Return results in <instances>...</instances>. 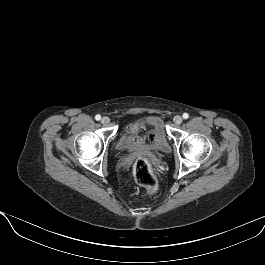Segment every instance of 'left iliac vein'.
I'll return each instance as SVG.
<instances>
[{
  "label": "left iliac vein",
  "mask_w": 265,
  "mask_h": 265,
  "mask_svg": "<svg viewBox=\"0 0 265 265\" xmlns=\"http://www.w3.org/2000/svg\"><path fill=\"white\" fill-rule=\"evenodd\" d=\"M173 121H174L175 124L179 125V124L182 123L183 119H182L181 116L176 115V116L174 117Z\"/></svg>",
  "instance_id": "1"
}]
</instances>
